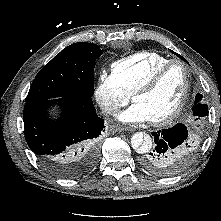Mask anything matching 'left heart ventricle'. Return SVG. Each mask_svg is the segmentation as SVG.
<instances>
[{"mask_svg":"<svg viewBox=\"0 0 221 221\" xmlns=\"http://www.w3.org/2000/svg\"><path fill=\"white\" fill-rule=\"evenodd\" d=\"M185 88V75L182 67L172 65L150 92L138 95L134 103L142 105L151 120L169 114L179 103Z\"/></svg>","mask_w":221,"mask_h":221,"instance_id":"obj_1","label":"left heart ventricle"}]
</instances>
